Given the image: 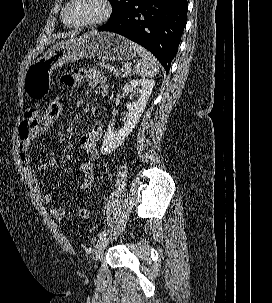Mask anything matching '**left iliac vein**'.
<instances>
[{
    "label": "left iliac vein",
    "instance_id": "obj_1",
    "mask_svg": "<svg viewBox=\"0 0 272 303\" xmlns=\"http://www.w3.org/2000/svg\"><path fill=\"white\" fill-rule=\"evenodd\" d=\"M110 241V236L107 234L106 236H103L101 238L98 239L95 248H94V252H95V260L98 261L104 251V249L106 248V246L108 245Z\"/></svg>",
    "mask_w": 272,
    "mask_h": 303
}]
</instances>
